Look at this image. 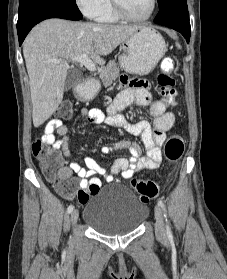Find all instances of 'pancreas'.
Masks as SVG:
<instances>
[{
  "label": "pancreas",
  "instance_id": "1",
  "mask_svg": "<svg viewBox=\"0 0 227 279\" xmlns=\"http://www.w3.org/2000/svg\"><path fill=\"white\" fill-rule=\"evenodd\" d=\"M120 73V68L115 61H110L106 67L101 69L99 78L103 85L108 86Z\"/></svg>",
  "mask_w": 227,
  "mask_h": 279
}]
</instances>
